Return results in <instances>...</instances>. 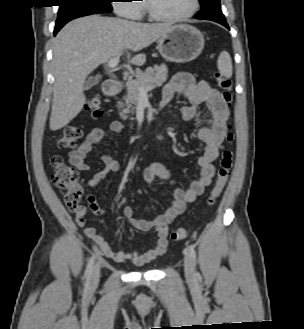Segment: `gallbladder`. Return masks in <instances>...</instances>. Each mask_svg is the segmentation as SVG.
I'll return each instance as SVG.
<instances>
[{
    "label": "gallbladder",
    "instance_id": "1",
    "mask_svg": "<svg viewBox=\"0 0 304 329\" xmlns=\"http://www.w3.org/2000/svg\"><path fill=\"white\" fill-rule=\"evenodd\" d=\"M97 83H98V78L97 77L89 78L84 84V90L90 89L91 87H93Z\"/></svg>",
    "mask_w": 304,
    "mask_h": 329
}]
</instances>
